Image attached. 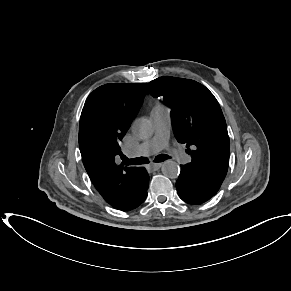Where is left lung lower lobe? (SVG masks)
<instances>
[{
	"instance_id": "1",
	"label": "left lung lower lobe",
	"mask_w": 291,
	"mask_h": 291,
	"mask_svg": "<svg viewBox=\"0 0 291 291\" xmlns=\"http://www.w3.org/2000/svg\"><path fill=\"white\" fill-rule=\"evenodd\" d=\"M221 184V181L186 164L181 165L176 189L184 202L198 205L212 198L218 192Z\"/></svg>"
}]
</instances>
